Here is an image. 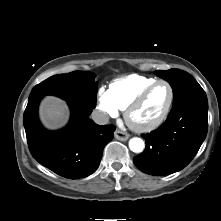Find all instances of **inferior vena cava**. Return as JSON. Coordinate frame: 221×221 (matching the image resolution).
Wrapping results in <instances>:
<instances>
[{"label": "inferior vena cava", "mask_w": 221, "mask_h": 221, "mask_svg": "<svg viewBox=\"0 0 221 221\" xmlns=\"http://www.w3.org/2000/svg\"><path fill=\"white\" fill-rule=\"evenodd\" d=\"M92 119L99 125H105L109 122V116L105 112L95 110L92 113Z\"/></svg>", "instance_id": "obj_1"}]
</instances>
